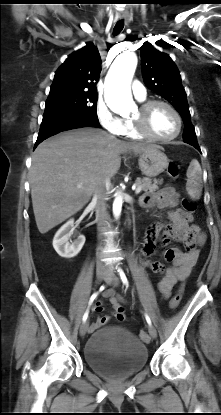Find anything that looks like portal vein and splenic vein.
Returning <instances> with one entry per match:
<instances>
[{"mask_svg": "<svg viewBox=\"0 0 221 415\" xmlns=\"http://www.w3.org/2000/svg\"><path fill=\"white\" fill-rule=\"evenodd\" d=\"M79 187H80V185H79ZM134 190H135L136 194H139L140 191H141V187H135Z\"/></svg>", "mask_w": 221, "mask_h": 415, "instance_id": "1", "label": "portal vein and splenic vein"}]
</instances>
